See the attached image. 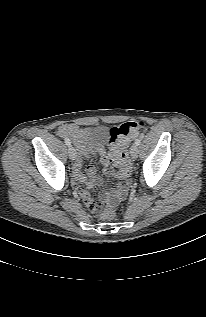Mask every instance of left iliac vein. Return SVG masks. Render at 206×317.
Returning a JSON list of instances; mask_svg holds the SVG:
<instances>
[{
    "instance_id": "left-iliac-vein-1",
    "label": "left iliac vein",
    "mask_w": 206,
    "mask_h": 317,
    "mask_svg": "<svg viewBox=\"0 0 206 317\" xmlns=\"http://www.w3.org/2000/svg\"><path fill=\"white\" fill-rule=\"evenodd\" d=\"M130 154H131V157L133 159L137 158V156H138V147H137V145L134 144V145L131 146Z\"/></svg>"
}]
</instances>
